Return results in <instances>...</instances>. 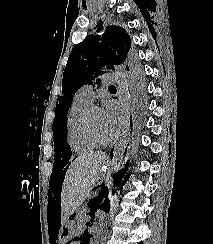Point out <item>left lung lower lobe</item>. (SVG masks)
Wrapping results in <instances>:
<instances>
[{"label": "left lung lower lobe", "mask_w": 213, "mask_h": 244, "mask_svg": "<svg viewBox=\"0 0 213 244\" xmlns=\"http://www.w3.org/2000/svg\"><path fill=\"white\" fill-rule=\"evenodd\" d=\"M144 118H145V108L144 107H135L133 109V111L131 112V122H130L131 129H132V122H133L134 132H136V133L139 132V130L141 129V127L143 125ZM111 151L113 152V150H111ZM128 165L129 164L127 163L125 169L122 172H119L116 176H114V179H115L114 182H115V184H117V182L120 183L121 179L124 176H125V179H126V177L128 175H125V172H126V170L128 168ZM103 189L104 188H102V190ZM105 192H107V190H105ZM104 195L105 194H104V190H103V192H100L99 195L89 203V205L91 207V212H94L97 209H103V206L106 205V202L103 203V206L102 205H99V204L101 203ZM105 197H107V194L105 195ZM90 216H92V215L90 214Z\"/></svg>", "instance_id": "0a47b994"}]
</instances>
